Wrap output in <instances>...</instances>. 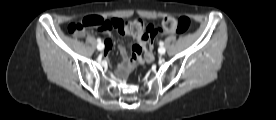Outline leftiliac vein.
<instances>
[{
  "label": "left iliac vein",
  "instance_id": "obj_1",
  "mask_svg": "<svg viewBox=\"0 0 276 120\" xmlns=\"http://www.w3.org/2000/svg\"><path fill=\"white\" fill-rule=\"evenodd\" d=\"M158 51H159V53L162 55V54H164L165 53V48L164 47H160L159 49H158Z\"/></svg>",
  "mask_w": 276,
  "mask_h": 120
}]
</instances>
